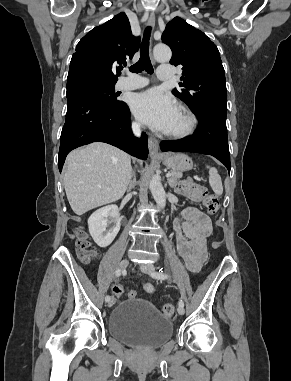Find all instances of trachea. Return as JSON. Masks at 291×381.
Returning <instances> with one entry per match:
<instances>
[{
	"label": "trachea",
	"mask_w": 291,
	"mask_h": 381,
	"mask_svg": "<svg viewBox=\"0 0 291 381\" xmlns=\"http://www.w3.org/2000/svg\"><path fill=\"white\" fill-rule=\"evenodd\" d=\"M150 32H151V27H147L144 36H143V41L141 44V56L140 59L137 63L132 65L130 67V71L134 73H139L142 71H146L149 74H153L154 69L152 67L150 58H149V39H150Z\"/></svg>",
	"instance_id": "obj_1"
}]
</instances>
